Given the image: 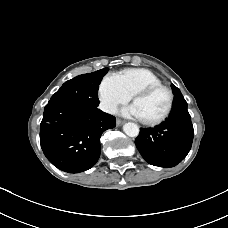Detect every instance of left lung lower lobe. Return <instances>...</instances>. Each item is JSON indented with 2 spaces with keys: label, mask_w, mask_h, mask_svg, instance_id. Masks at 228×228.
Instances as JSON below:
<instances>
[{
  "label": "left lung lower lobe",
  "mask_w": 228,
  "mask_h": 228,
  "mask_svg": "<svg viewBox=\"0 0 228 228\" xmlns=\"http://www.w3.org/2000/svg\"><path fill=\"white\" fill-rule=\"evenodd\" d=\"M193 134L187 102L180 92L175 94L172 111L166 121L155 128H141L135 144L149 164L173 167L190 151Z\"/></svg>",
  "instance_id": "left-lung-lower-lobe-1"
}]
</instances>
